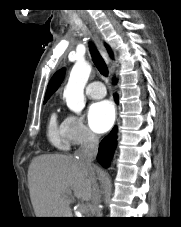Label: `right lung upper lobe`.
Returning a JSON list of instances; mask_svg holds the SVG:
<instances>
[{
	"mask_svg": "<svg viewBox=\"0 0 181 227\" xmlns=\"http://www.w3.org/2000/svg\"><path fill=\"white\" fill-rule=\"evenodd\" d=\"M106 48L108 50V53L110 54V56H113V53L110 49V47L108 45H106ZM64 73L65 70L61 69L59 71H57L51 78V80L49 81L48 87H47V91L45 94V100L47 101L48 98L57 90V88L60 86V84L62 83L63 79H64Z\"/></svg>",
	"mask_w": 181,
	"mask_h": 227,
	"instance_id": "1",
	"label": "right lung upper lobe"
}]
</instances>
